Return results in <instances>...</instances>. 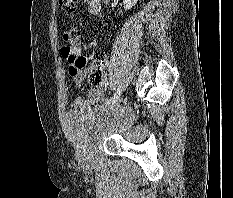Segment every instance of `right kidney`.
<instances>
[{"label":"right kidney","mask_w":233,"mask_h":198,"mask_svg":"<svg viewBox=\"0 0 233 198\" xmlns=\"http://www.w3.org/2000/svg\"><path fill=\"white\" fill-rule=\"evenodd\" d=\"M137 3V0H123L124 8L129 10Z\"/></svg>","instance_id":"obj_1"}]
</instances>
